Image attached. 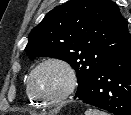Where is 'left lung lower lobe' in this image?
I'll use <instances>...</instances> for the list:
<instances>
[{
	"mask_svg": "<svg viewBox=\"0 0 131 115\" xmlns=\"http://www.w3.org/2000/svg\"><path fill=\"white\" fill-rule=\"evenodd\" d=\"M76 97L114 115H131V38Z\"/></svg>",
	"mask_w": 131,
	"mask_h": 115,
	"instance_id": "1",
	"label": "left lung lower lobe"
}]
</instances>
